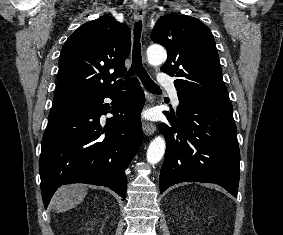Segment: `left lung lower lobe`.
Returning <instances> with one entry per match:
<instances>
[{"label":"left lung lower lobe","instance_id":"0a47b994","mask_svg":"<svg viewBox=\"0 0 283 235\" xmlns=\"http://www.w3.org/2000/svg\"><path fill=\"white\" fill-rule=\"evenodd\" d=\"M177 118L160 124L166 138L160 192L180 182L215 183L237 197L240 152L230 101H209L177 92Z\"/></svg>","mask_w":283,"mask_h":235}]
</instances>
